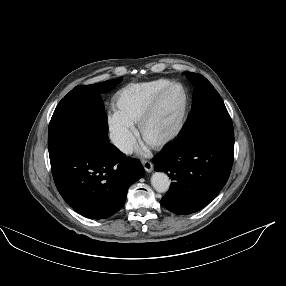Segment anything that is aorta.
<instances>
[{
  "mask_svg": "<svg viewBox=\"0 0 286 286\" xmlns=\"http://www.w3.org/2000/svg\"><path fill=\"white\" fill-rule=\"evenodd\" d=\"M151 184L157 192L164 193L170 187V180L165 173L155 172L151 177Z\"/></svg>",
  "mask_w": 286,
  "mask_h": 286,
  "instance_id": "aorta-1",
  "label": "aorta"
}]
</instances>
